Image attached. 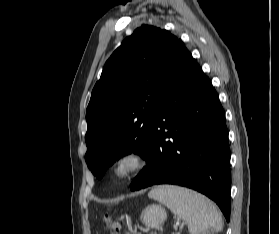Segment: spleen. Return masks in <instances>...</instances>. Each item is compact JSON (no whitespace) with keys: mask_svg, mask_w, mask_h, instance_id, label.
<instances>
[{"mask_svg":"<svg viewBox=\"0 0 279 234\" xmlns=\"http://www.w3.org/2000/svg\"><path fill=\"white\" fill-rule=\"evenodd\" d=\"M149 197L186 221L190 234H214L223 229L217 207L200 193L179 186L160 185L150 191Z\"/></svg>","mask_w":279,"mask_h":234,"instance_id":"3e777b00","label":"spleen"}]
</instances>
